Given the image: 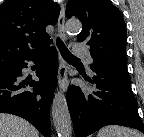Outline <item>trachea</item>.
Returning a JSON list of instances; mask_svg holds the SVG:
<instances>
[{
	"instance_id": "3493384b",
	"label": "trachea",
	"mask_w": 144,
	"mask_h": 137,
	"mask_svg": "<svg viewBox=\"0 0 144 137\" xmlns=\"http://www.w3.org/2000/svg\"><path fill=\"white\" fill-rule=\"evenodd\" d=\"M57 46L61 52V55L65 60H79L76 56H74L65 46V44L58 38Z\"/></svg>"
}]
</instances>
